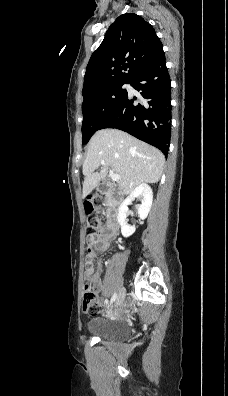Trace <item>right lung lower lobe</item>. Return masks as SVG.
Wrapping results in <instances>:
<instances>
[{
    "instance_id": "obj_1",
    "label": "right lung lower lobe",
    "mask_w": 228,
    "mask_h": 396,
    "mask_svg": "<svg viewBox=\"0 0 228 396\" xmlns=\"http://www.w3.org/2000/svg\"><path fill=\"white\" fill-rule=\"evenodd\" d=\"M142 101L127 94L121 105L103 122L101 129L116 128L147 142L167 157L171 137V83L163 47L130 82Z\"/></svg>"
}]
</instances>
